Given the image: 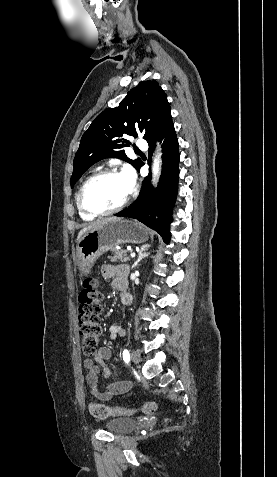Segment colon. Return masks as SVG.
I'll list each match as a JSON object with an SVG mask.
<instances>
[{
  "label": "colon",
  "instance_id": "obj_1",
  "mask_svg": "<svg viewBox=\"0 0 277 477\" xmlns=\"http://www.w3.org/2000/svg\"><path fill=\"white\" fill-rule=\"evenodd\" d=\"M101 293L98 290V282L94 278H88L83 283V288L79 294V331L82 338L83 351L86 355H93L98 349L101 336L100 313ZM156 403L153 401L144 402L140 411L144 414H152L156 410ZM90 413L98 419H105L110 416H125L135 413L136 409L124 407H109L100 403H90Z\"/></svg>",
  "mask_w": 277,
  "mask_h": 477
}]
</instances>
